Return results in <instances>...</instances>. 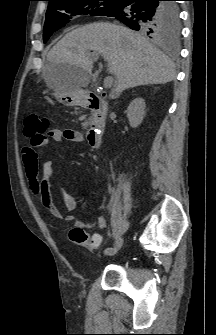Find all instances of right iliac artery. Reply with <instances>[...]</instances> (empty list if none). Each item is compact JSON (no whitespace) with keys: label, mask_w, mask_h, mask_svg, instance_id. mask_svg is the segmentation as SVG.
Returning a JSON list of instances; mask_svg holds the SVG:
<instances>
[{"label":"right iliac artery","mask_w":216,"mask_h":335,"mask_svg":"<svg viewBox=\"0 0 216 335\" xmlns=\"http://www.w3.org/2000/svg\"><path fill=\"white\" fill-rule=\"evenodd\" d=\"M111 252H112L111 247L106 248L105 251H104V253L107 254V255L110 254Z\"/></svg>","instance_id":"1"}]
</instances>
